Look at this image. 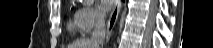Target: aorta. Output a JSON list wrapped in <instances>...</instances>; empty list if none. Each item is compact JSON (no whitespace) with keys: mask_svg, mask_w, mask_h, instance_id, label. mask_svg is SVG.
<instances>
[{"mask_svg":"<svg viewBox=\"0 0 213 48\" xmlns=\"http://www.w3.org/2000/svg\"><path fill=\"white\" fill-rule=\"evenodd\" d=\"M84 2V4H91L93 2V0H81Z\"/></svg>","mask_w":213,"mask_h":48,"instance_id":"obj_1","label":"aorta"}]
</instances>
